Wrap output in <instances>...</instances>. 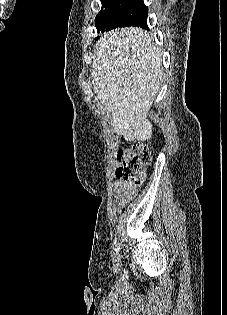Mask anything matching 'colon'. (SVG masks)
Instances as JSON below:
<instances>
[{"label": "colon", "instance_id": "colon-1", "mask_svg": "<svg viewBox=\"0 0 227 315\" xmlns=\"http://www.w3.org/2000/svg\"><path fill=\"white\" fill-rule=\"evenodd\" d=\"M117 160L120 162L116 171L118 179L134 189L141 187L145 180L146 168L151 162L149 146L138 143L130 149L121 150L117 153Z\"/></svg>", "mask_w": 227, "mask_h": 315}]
</instances>
